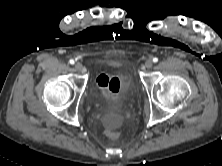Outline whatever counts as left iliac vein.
Here are the masks:
<instances>
[{
	"mask_svg": "<svg viewBox=\"0 0 222 166\" xmlns=\"http://www.w3.org/2000/svg\"><path fill=\"white\" fill-rule=\"evenodd\" d=\"M144 66H145V68H147V69H150L152 66H153V62H152V60H147L145 63H144Z\"/></svg>",
	"mask_w": 222,
	"mask_h": 166,
	"instance_id": "4c4485c4",
	"label": "left iliac vein"
}]
</instances>
